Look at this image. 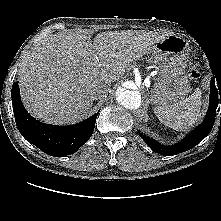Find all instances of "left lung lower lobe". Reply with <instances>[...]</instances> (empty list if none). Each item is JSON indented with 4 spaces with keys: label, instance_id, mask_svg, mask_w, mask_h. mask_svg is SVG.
Instances as JSON below:
<instances>
[{
    "label": "left lung lower lobe",
    "instance_id": "obj_1",
    "mask_svg": "<svg viewBox=\"0 0 221 221\" xmlns=\"http://www.w3.org/2000/svg\"><path fill=\"white\" fill-rule=\"evenodd\" d=\"M219 102L221 103V86L218 85L217 87V85H215L214 78H212L210 82V105L206 117L201 125H199L194 131L187 135V137H185L176 145L164 146L159 144L154 139L143 135L142 133H139V135L154 152L161 155H176L181 152H185L196 146L210 133L214 125L216 109Z\"/></svg>",
    "mask_w": 221,
    "mask_h": 221
}]
</instances>
